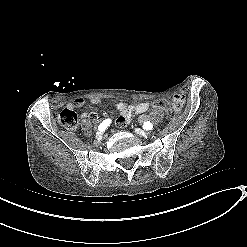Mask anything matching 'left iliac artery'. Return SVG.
Masks as SVG:
<instances>
[{
    "label": "left iliac artery",
    "instance_id": "obj_1",
    "mask_svg": "<svg viewBox=\"0 0 247 247\" xmlns=\"http://www.w3.org/2000/svg\"><path fill=\"white\" fill-rule=\"evenodd\" d=\"M143 128L146 130H151L153 128V125L150 121L144 122Z\"/></svg>",
    "mask_w": 247,
    "mask_h": 247
}]
</instances>
